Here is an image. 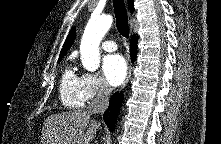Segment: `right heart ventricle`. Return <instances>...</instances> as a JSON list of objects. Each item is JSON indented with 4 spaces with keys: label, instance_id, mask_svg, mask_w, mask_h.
I'll list each match as a JSON object with an SVG mask.
<instances>
[{
    "label": "right heart ventricle",
    "instance_id": "right-heart-ventricle-1",
    "mask_svg": "<svg viewBox=\"0 0 221 144\" xmlns=\"http://www.w3.org/2000/svg\"><path fill=\"white\" fill-rule=\"evenodd\" d=\"M59 97L61 103L68 108H81L85 100L82 95V77L79 76L72 65H67L63 71Z\"/></svg>",
    "mask_w": 221,
    "mask_h": 144
}]
</instances>
